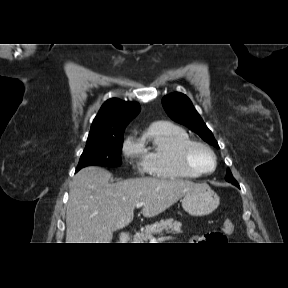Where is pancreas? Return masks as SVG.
<instances>
[{
    "instance_id": "obj_1",
    "label": "pancreas",
    "mask_w": 288,
    "mask_h": 288,
    "mask_svg": "<svg viewBox=\"0 0 288 288\" xmlns=\"http://www.w3.org/2000/svg\"><path fill=\"white\" fill-rule=\"evenodd\" d=\"M182 224L174 219L161 220L154 224L147 225L143 232L136 233L134 235V243H147L153 235L161 234L162 232L167 233H181Z\"/></svg>"
}]
</instances>
